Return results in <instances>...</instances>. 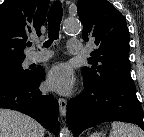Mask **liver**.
I'll return each instance as SVG.
<instances>
[{
	"label": "liver",
	"mask_w": 144,
	"mask_h": 137,
	"mask_svg": "<svg viewBox=\"0 0 144 137\" xmlns=\"http://www.w3.org/2000/svg\"><path fill=\"white\" fill-rule=\"evenodd\" d=\"M45 129L18 111L0 109V137H44Z\"/></svg>",
	"instance_id": "obj_1"
}]
</instances>
